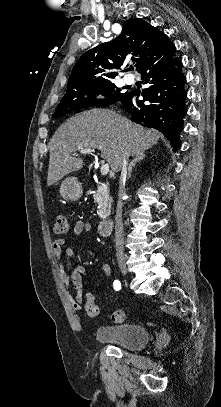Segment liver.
Masks as SVG:
<instances>
[{
  "mask_svg": "<svg viewBox=\"0 0 221 407\" xmlns=\"http://www.w3.org/2000/svg\"><path fill=\"white\" fill-rule=\"evenodd\" d=\"M161 134L137 125L109 109H91L63 123L49 142L50 158L47 185L57 183L65 175L80 170L85 162L72 153L85 148L98 149L114 172L120 170L125 153L144 152L157 143Z\"/></svg>",
  "mask_w": 221,
  "mask_h": 407,
  "instance_id": "liver-1",
  "label": "liver"
}]
</instances>
